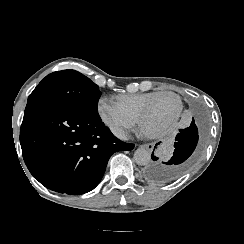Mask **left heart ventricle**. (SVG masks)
<instances>
[{"mask_svg": "<svg viewBox=\"0 0 244 244\" xmlns=\"http://www.w3.org/2000/svg\"><path fill=\"white\" fill-rule=\"evenodd\" d=\"M178 100L171 95H163L162 99L156 101V104L146 112V122L149 126L154 127L159 122V116L162 120H167L170 115L176 110Z\"/></svg>", "mask_w": 244, "mask_h": 244, "instance_id": "b2bd125f", "label": "left heart ventricle"}]
</instances>
